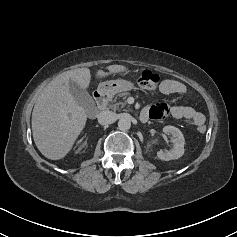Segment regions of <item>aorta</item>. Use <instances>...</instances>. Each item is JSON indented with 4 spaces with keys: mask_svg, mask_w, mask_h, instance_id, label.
<instances>
[{
    "mask_svg": "<svg viewBox=\"0 0 237 237\" xmlns=\"http://www.w3.org/2000/svg\"><path fill=\"white\" fill-rule=\"evenodd\" d=\"M130 127H131V122L128 117H122L119 119V121H118L119 130L126 131V130H129Z\"/></svg>",
    "mask_w": 237,
    "mask_h": 237,
    "instance_id": "obj_1",
    "label": "aorta"
}]
</instances>
